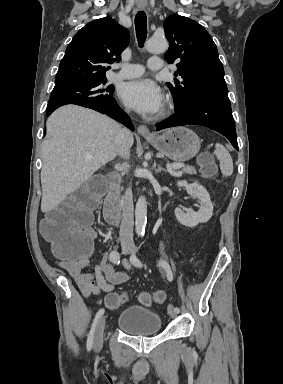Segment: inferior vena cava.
I'll use <instances>...</instances> for the list:
<instances>
[{
  "label": "inferior vena cava",
  "mask_w": 283,
  "mask_h": 384,
  "mask_svg": "<svg viewBox=\"0 0 283 384\" xmlns=\"http://www.w3.org/2000/svg\"><path fill=\"white\" fill-rule=\"evenodd\" d=\"M130 132L126 128H121L119 130L116 138L115 144L119 152L120 158L128 160L130 158V148L128 146V136ZM122 216H121V226H120V240L122 248H134L133 242V198L131 192V186L126 188V192L122 198Z\"/></svg>",
  "instance_id": "602c4592"
}]
</instances>
